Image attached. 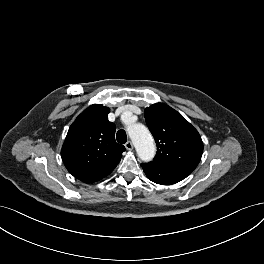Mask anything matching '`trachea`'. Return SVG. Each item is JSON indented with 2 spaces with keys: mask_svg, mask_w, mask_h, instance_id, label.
Masks as SVG:
<instances>
[{
  "mask_svg": "<svg viewBox=\"0 0 264 264\" xmlns=\"http://www.w3.org/2000/svg\"><path fill=\"white\" fill-rule=\"evenodd\" d=\"M117 142L124 144L127 141V135L124 130H119L116 135Z\"/></svg>",
  "mask_w": 264,
  "mask_h": 264,
  "instance_id": "trachea-1",
  "label": "trachea"
}]
</instances>
